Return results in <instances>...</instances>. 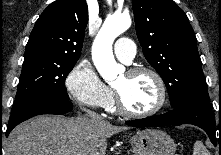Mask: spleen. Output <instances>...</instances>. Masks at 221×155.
Here are the masks:
<instances>
[{
  "label": "spleen",
  "instance_id": "1",
  "mask_svg": "<svg viewBox=\"0 0 221 155\" xmlns=\"http://www.w3.org/2000/svg\"><path fill=\"white\" fill-rule=\"evenodd\" d=\"M193 155H210L201 141H196L193 148Z\"/></svg>",
  "mask_w": 221,
  "mask_h": 155
}]
</instances>
